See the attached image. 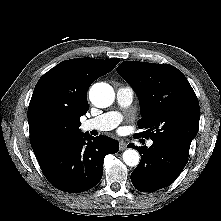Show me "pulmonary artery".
<instances>
[{
	"mask_svg": "<svg viewBox=\"0 0 221 221\" xmlns=\"http://www.w3.org/2000/svg\"><path fill=\"white\" fill-rule=\"evenodd\" d=\"M134 96V91L130 86L120 87L116 92L118 105L125 109L130 106ZM122 121V114L118 111H110L101 114L95 118L84 121L81 125L83 131H110L117 127ZM152 141H148L147 145L151 146Z\"/></svg>",
	"mask_w": 221,
	"mask_h": 221,
	"instance_id": "pulmonary-artery-1",
	"label": "pulmonary artery"
}]
</instances>
